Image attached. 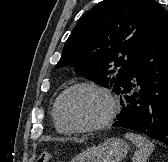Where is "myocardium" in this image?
<instances>
[{"mask_svg":"<svg viewBox=\"0 0 168 162\" xmlns=\"http://www.w3.org/2000/svg\"><path fill=\"white\" fill-rule=\"evenodd\" d=\"M77 89H90L94 90L101 95H103L107 101H108V112L107 115L99 122L91 125H71L67 123L60 111L61 102L64 99V97L69 94L70 92L77 90ZM117 111V106L115 99L111 92L106 89L103 86H100L98 84L90 83V82H80L76 83L74 85H71L70 87L66 88L56 99L54 104V116L57 120V122L66 130L69 132H94V131H100L105 128H107L111 122L113 121Z\"/></svg>","mask_w":168,"mask_h":162,"instance_id":"obj_1","label":"myocardium"}]
</instances>
